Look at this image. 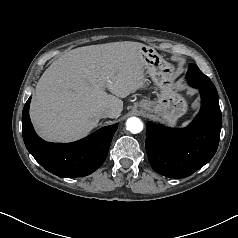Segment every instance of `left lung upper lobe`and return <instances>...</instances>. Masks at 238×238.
<instances>
[{
    "label": "left lung upper lobe",
    "mask_w": 238,
    "mask_h": 238,
    "mask_svg": "<svg viewBox=\"0 0 238 238\" xmlns=\"http://www.w3.org/2000/svg\"><path fill=\"white\" fill-rule=\"evenodd\" d=\"M188 74H189V76L193 75V76L199 78L200 81L203 83L204 86H206L207 89L216 91V88L212 84L210 79L200 71V69L197 67V65L190 64L189 68H188Z\"/></svg>",
    "instance_id": "1"
}]
</instances>
